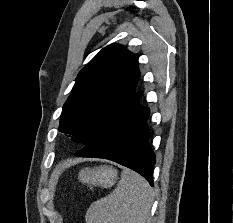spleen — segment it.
Instances as JSON below:
<instances>
[{"label": "spleen", "mask_w": 233, "mask_h": 223, "mask_svg": "<svg viewBox=\"0 0 233 223\" xmlns=\"http://www.w3.org/2000/svg\"><path fill=\"white\" fill-rule=\"evenodd\" d=\"M152 199V189L144 177L123 171L116 189L88 207L86 223H146Z\"/></svg>", "instance_id": "spleen-1"}]
</instances>
